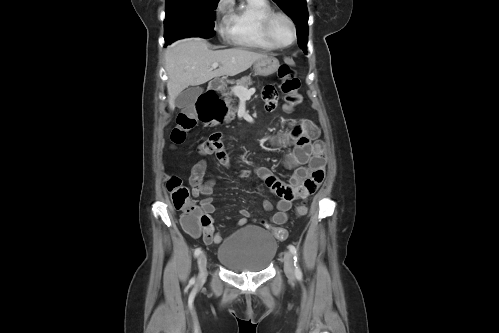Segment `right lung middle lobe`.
Returning <instances> with one entry per match:
<instances>
[{
	"label": "right lung middle lobe",
	"instance_id": "1",
	"mask_svg": "<svg viewBox=\"0 0 499 333\" xmlns=\"http://www.w3.org/2000/svg\"><path fill=\"white\" fill-rule=\"evenodd\" d=\"M219 0H166L165 42L191 36L215 35V9Z\"/></svg>",
	"mask_w": 499,
	"mask_h": 333
}]
</instances>
